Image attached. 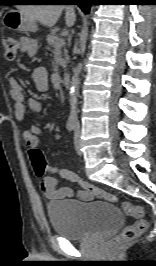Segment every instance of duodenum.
Here are the masks:
<instances>
[{
    "instance_id": "obj_1",
    "label": "duodenum",
    "mask_w": 156,
    "mask_h": 266,
    "mask_svg": "<svg viewBox=\"0 0 156 266\" xmlns=\"http://www.w3.org/2000/svg\"><path fill=\"white\" fill-rule=\"evenodd\" d=\"M62 83L65 87H69L70 86V83H71V76L70 74L68 73H65L63 76H62Z\"/></svg>"
}]
</instances>
